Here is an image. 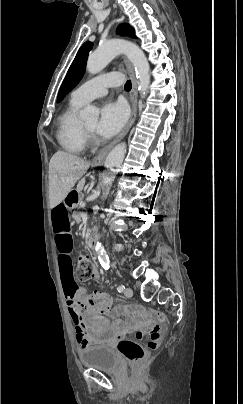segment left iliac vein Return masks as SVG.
Segmentation results:
<instances>
[{
	"instance_id": "obj_1",
	"label": "left iliac vein",
	"mask_w": 243,
	"mask_h": 404,
	"mask_svg": "<svg viewBox=\"0 0 243 404\" xmlns=\"http://www.w3.org/2000/svg\"><path fill=\"white\" fill-rule=\"evenodd\" d=\"M126 297H131L133 295V291L130 287H127L124 291Z\"/></svg>"
}]
</instances>
